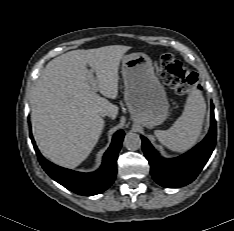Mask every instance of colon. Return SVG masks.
Listing matches in <instances>:
<instances>
[{
    "label": "colon",
    "instance_id": "5ec220e1",
    "mask_svg": "<svg viewBox=\"0 0 234 231\" xmlns=\"http://www.w3.org/2000/svg\"><path fill=\"white\" fill-rule=\"evenodd\" d=\"M158 72L163 83L173 88L178 94L188 95L197 89V74L184 67L171 54H163L160 57Z\"/></svg>",
    "mask_w": 234,
    "mask_h": 231
}]
</instances>
